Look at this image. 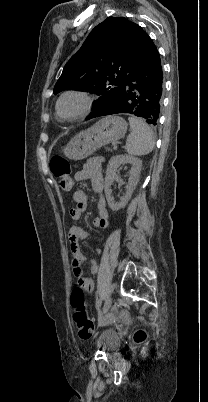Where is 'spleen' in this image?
<instances>
[{"mask_svg":"<svg viewBox=\"0 0 208 402\" xmlns=\"http://www.w3.org/2000/svg\"><path fill=\"white\" fill-rule=\"evenodd\" d=\"M130 124V134L125 146L126 152L131 156H146L150 154L155 146L154 134L141 118H128Z\"/></svg>","mask_w":208,"mask_h":402,"instance_id":"spleen-1","label":"spleen"}]
</instances>
